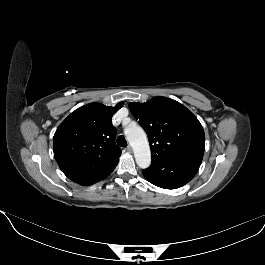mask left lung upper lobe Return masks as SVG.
I'll return each mask as SVG.
<instances>
[{
    "label": "left lung upper lobe",
    "mask_w": 265,
    "mask_h": 265,
    "mask_svg": "<svg viewBox=\"0 0 265 265\" xmlns=\"http://www.w3.org/2000/svg\"><path fill=\"white\" fill-rule=\"evenodd\" d=\"M128 106L148 135L152 163L204 153L203 127L184 105L166 97H155Z\"/></svg>",
    "instance_id": "5c2ea615"
}]
</instances>
